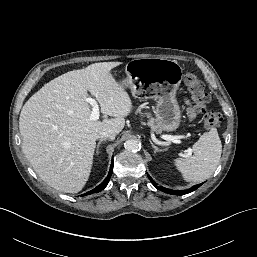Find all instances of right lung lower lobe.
Returning <instances> with one entry per match:
<instances>
[{
    "mask_svg": "<svg viewBox=\"0 0 257 257\" xmlns=\"http://www.w3.org/2000/svg\"><path fill=\"white\" fill-rule=\"evenodd\" d=\"M112 171H113V162H112V164L110 166V171L108 173V176L105 178V180L100 185H98L96 188L92 189L91 191H89V192H87V193H85V194H83L81 196L90 195L92 193L100 192L101 190H103L106 187V185L108 184V182H109V179H110V177L112 175Z\"/></svg>",
    "mask_w": 257,
    "mask_h": 257,
    "instance_id": "right-lung-lower-lobe-1",
    "label": "right lung lower lobe"
}]
</instances>
